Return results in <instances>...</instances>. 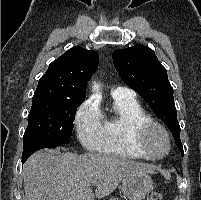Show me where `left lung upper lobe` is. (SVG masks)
Wrapping results in <instances>:
<instances>
[{
    "label": "left lung upper lobe",
    "mask_w": 201,
    "mask_h": 200,
    "mask_svg": "<svg viewBox=\"0 0 201 200\" xmlns=\"http://www.w3.org/2000/svg\"><path fill=\"white\" fill-rule=\"evenodd\" d=\"M112 57L121 79L149 104L156 116L170 129L183 157L173 88L155 52L144 45H135L114 51Z\"/></svg>",
    "instance_id": "5c2ea615"
}]
</instances>
